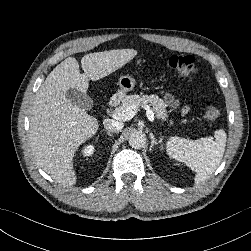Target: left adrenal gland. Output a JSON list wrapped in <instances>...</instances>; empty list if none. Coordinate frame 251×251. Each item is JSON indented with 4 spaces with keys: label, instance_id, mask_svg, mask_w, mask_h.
I'll list each match as a JSON object with an SVG mask.
<instances>
[{
    "label": "left adrenal gland",
    "instance_id": "1",
    "mask_svg": "<svg viewBox=\"0 0 251 251\" xmlns=\"http://www.w3.org/2000/svg\"><path fill=\"white\" fill-rule=\"evenodd\" d=\"M150 137H151V146L150 148H153L154 145H158L157 139L154 137V135L152 133H150ZM159 142H161V139L159 140Z\"/></svg>",
    "mask_w": 251,
    "mask_h": 251
}]
</instances>
